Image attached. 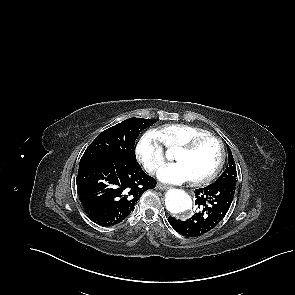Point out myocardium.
I'll use <instances>...</instances> for the list:
<instances>
[{
	"label": "myocardium",
	"instance_id": "f54148a6",
	"mask_svg": "<svg viewBox=\"0 0 295 295\" xmlns=\"http://www.w3.org/2000/svg\"><path fill=\"white\" fill-rule=\"evenodd\" d=\"M209 139L215 140L218 143L219 149H220V158H219L217 166L210 174L202 178L193 179L194 183L196 184H207L213 181L221 172L226 160V149L222 139L214 134L209 133V134L197 136L177 149V151L179 152L189 153L194 151L202 142Z\"/></svg>",
	"mask_w": 295,
	"mask_h": 295
}]
</instances>
